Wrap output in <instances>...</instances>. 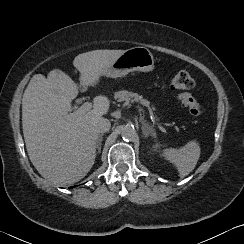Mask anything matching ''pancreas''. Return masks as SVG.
<instances>
[{
    "instance_id": "1",
    "label": "pancreas",
    "mask_w": 244,
    "mask_h": 244,
    "mask_svg": "<svg viewBox=\"0 0 244 244\" xmlns=\"http://www.w3.org/2000/svg\"><path fill=\"white\" fill-rule=\"evenodd\" d=\"M114 98L117 101H126V102H139L144 106L150 107V104L147 100L143 99L142 96H139L136 93L129 92L127 90L118 91L115 93Z\"/></svg>"
}]
</instances>
